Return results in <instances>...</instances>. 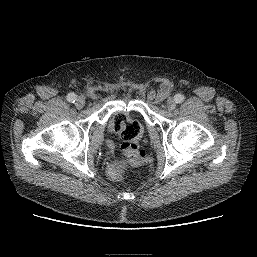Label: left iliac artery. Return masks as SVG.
Listing matches in <instances>:
<instances>
[{
	"label": "left iliac artery",
	"instance_id": "44dca946",
	"mask_svg": "<svg viewBox=\"0 0 257 257\" xmlns=\"http://www.w3.org/2000/svg\"><path fill=\"white\" fill-rule=\"evenodd\" d=\"M185 97L182 94H176L174 97V100L176 103H182L184 101Z\"/></svg>",
	"mask_w": 257,
	"mask_h": 257
}]
</instances>
